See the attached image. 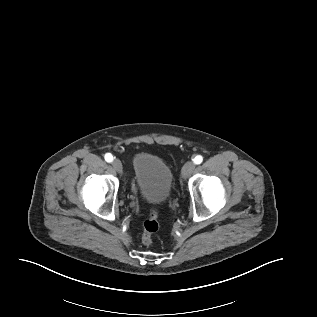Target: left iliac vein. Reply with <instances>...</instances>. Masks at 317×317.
Wrapping results in <instances>:
<instances>
[{
  "label": "left iliac vein",
  "instance_id": "left-iliac-vein-1",
  "mask_svg": "<svg viewBox=\"0 0 317 317\" xmlns=\"http://www.w3.org/2000/svg\"><path fill=\"white\" fill-rule=\"evenodd\" d=\"M195 169V164L192 161H188L184 164L183 168H182V177L183 178H187L189 177L193 171Z\"/></svg>",
  "mask_w": 317,
  "mask_h": 317
}]
</instances>
